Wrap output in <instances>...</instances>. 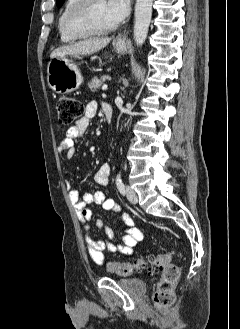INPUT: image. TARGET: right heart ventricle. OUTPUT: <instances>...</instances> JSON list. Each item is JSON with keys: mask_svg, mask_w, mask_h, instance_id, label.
<instances>
[{"mask_svg": "<svg viewBox=\"0 0 240 329\" xmlns=\"http://www.w3.org/2000/svg\"><path fill=\"white\" fill-rule=\"evenodd\" d=\"M77 2V0H66L58 17L57 28L60 38L63 42L69 43L73 42L78 38L69 35L65 29V17L69 9Z\"/></svg>", "mask_w": 240, "mask_h": 329, "instance_id": "1", "label": "right heart ventricle"}]
</instances>
